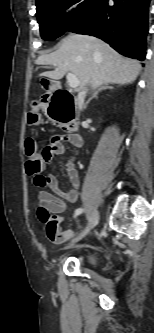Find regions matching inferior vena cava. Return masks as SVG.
I'll return each mask as SVG.
<instances>
[{"mask_svg": "<svg viewBox=\"0 0 154 333\" xmlns=\"http://www.w3.org/2000/svg\"><path fill=\"white\" fill-rule=\"evenodd\" d=\"M85 95H86V91H85V90H82V91L79 92V94H78V97H77V105H78L79 109H82V108H83Z\"/></svg>", "mask_w": 154, "mask_h": 333, "instance_id": "602c4592", "label": "inferior vena cava"}]
</instances>
